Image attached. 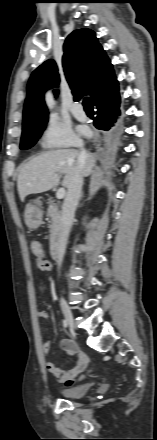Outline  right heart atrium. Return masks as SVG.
Listing matches in <instances>:
<instances>
[{
    "label": "right heart atrium",
    "mask_w": 157,
    "mask_h": 440,
    "mask_svg": "<svg viewBox=\"0 0 157 440\" xmlns=\"http://www.w3.org/2000/svg\"><path fill=\"white\" fill-rule=\"evenodd\" d=\"M81 138L74 132L71 124L56 115H50L43 126L41 145L44 148H67L77 146Z\"/></svg>",
    "instance_id": "right-heart-atrium-1"
}]
</instances>
